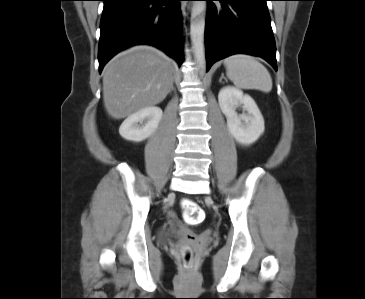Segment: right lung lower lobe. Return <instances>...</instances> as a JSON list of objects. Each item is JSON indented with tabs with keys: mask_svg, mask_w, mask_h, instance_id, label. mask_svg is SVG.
Masks as SVG:
<instances>
[{
	"mask_svg": "<svg viewBox=\"0 0 365 299\" xmlns=\"http://www.w3.org/2000/svg\"><path fill=\"white\" fill-rule=\"evenodd\" d=\"M99 72L119 51L149 44L183 63L181 0H103Z\"/></svg>",
	"mask_w": 365,
	"mask_h": 299,
	"instance_id": "1",
	"label": "right lung lower lobe"
}]
</instances>
